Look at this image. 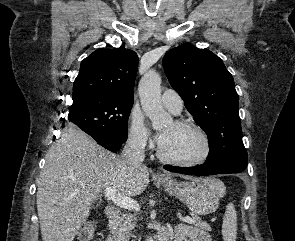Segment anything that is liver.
Returning a JSON list of instances; mask_svg holds the SVG:
<instances>
[{"label":"liver","mask_w":295,"mask_h":241,"mask_svg":"<svg viewBox=\"0 0 295 241\" xmlns=\"http://www.w3.org/2000/svg\"><path fill=\"white\" fill-rule=\"evenodd\" d=\"M148 184L146 166H130L80 130L65 129L48 150L37 183L42 240L73 241L102 190L110 187L133 197Z\"/></svg>","instance_id":"6515ba94"}]
</instances>
